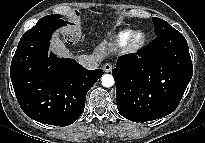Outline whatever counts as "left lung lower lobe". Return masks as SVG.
Listing matches in <instances>:
<instances>
[{"instance_id":"left-lung-lower-lobe-1","label":"left lung lower lobe","mask_w":205,"mask_h":143,"mask_svg":"<svg viewBox=\"0 0 205 143\" xmlns=\"http://www.w3.org/2000/svg\"><path fill=\"white\" fill-rule=\"evenodd\" d=\"M192 74L184 36L158 35L138 54L118 58L112 70L118 111L133 122L162 118L177 108Z\"/></svg>"}]
</instances>
